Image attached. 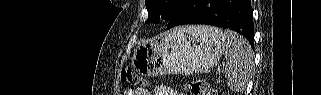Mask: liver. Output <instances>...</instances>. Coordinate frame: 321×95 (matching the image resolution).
I'll use <instances>...</instances> for the list:
<instances>
[{
	"label": "liver",
	"instance_id": "1",
	"mask_svg": "<svg viewBox=\"0 0 321 95\" xmlns=\"http://www.w3.org/2000/svg\"><path fill=\"white\" fill-rule=\"evenodd\" d=\"M190 29L195 31V30H199V27L190 26Z\"/></svg>",
	"mask_w": 321,
	"mask_h": 95
}]
</instances>
